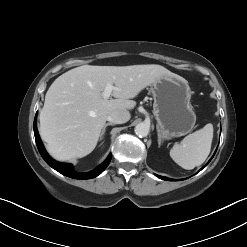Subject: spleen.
Wrapping results in <instances>:
<instances>
[{
    "label": "spleen",
    "mask_w": 247,
    "mask_h": 247,
    "mask_svg": "<svg viewBox=\"0 0 247 247\" xmlns=\"http://www.w3.org/2000/svg\"><path fill=\"white\" fill-rule=\"evenodd\" d=\"M212 139L213 125L209 123L186 136L179 144H174L170 150V156L182 168L194 169L208 157Z\"/></svg>",
    "instance_id": "spleen-1"
}]
</instances>
